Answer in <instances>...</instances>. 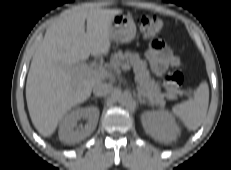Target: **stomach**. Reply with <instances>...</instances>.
Listing matches in <instances>:
<instances>
[{"instance_id":"0dacf381","label":"stomach","mask_w":231,"mask_h":170,"mask_svg":"<svg viewBox=\"0 0 231 170\" xmlns=\"http://www.w3.org/2000/svg\"><path fill=\"white\" fill-rule=\"evenodd\" d=\"M109 36L115 42H131L136 36L133 18L130 15H116L111 21Z\"/></svg>"}]
</instances>
